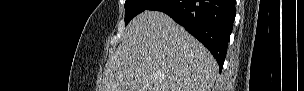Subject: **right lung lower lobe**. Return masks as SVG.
<instances>
[{"label":"right lung lower lobe","mask_w":304,"mask_h":91,"mask_svg":"<svg viewBox=\"0 0 304 91\" xmlns=\"http://www.w3.org/2000/svg\"><path fill=\"white\" fill-rule=\"evenodd\" d=\"M235 0H153L145 10L161 11L197 38L223 68L236 15Z\"/></svg>","instance_id":"right-lung-lower-lobe-1"}]
</instances>
